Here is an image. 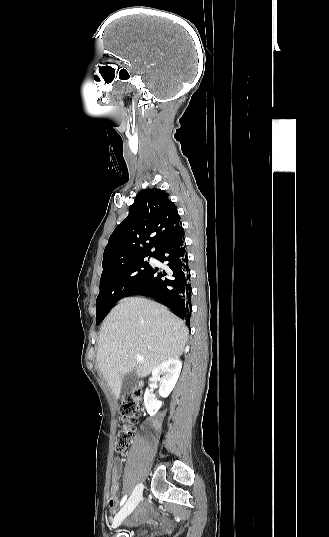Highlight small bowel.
Returning <instances> with one entry per match:
<instances>
[{"mask_svg":"<svg viewBox=\"0 0 329 537\" xmlns=\"http://www.w3.org/2000/svg\"><path fill=\"white\" fill-rule=\"evenodd\" d=\"M120 468H121L120 460L115 459V461H114V471H113L114 487H113L112 493L110 494V497L108 499V507H109V510H110L111 513L115 512L116 506L119 503L117 483H118V480H119ZM136 519L139 520V521L147 520V516H146L145 512L141 508H139L137 510V512H136Z\"/></svg>","mask_w":329,"mask_h":537,"instance_id":"1","label":"small bowel"}]
</instances>
